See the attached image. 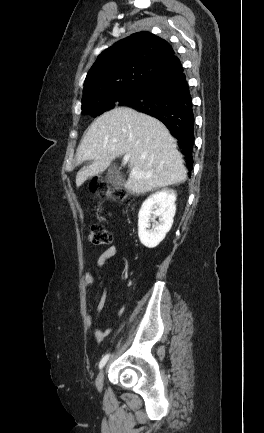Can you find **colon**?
Masks as SVG:
<instances>
[{"mask_svg":"<svg viewBox=\"0 0 264 433\" xmlns=\"http://www.w3.org/2000/svg\"><path fill=\"white\" fill-rule=\"evenodd\" d=\"M90 188L94 193L102 197H112L119 201L131 200V196L127 191L122 189H110L99 180H93L90 184ZM89 241L97 246L108 245L112 242V234L105 226L94 224L89 229Z\"/></svg>","mask_w":264,"mask_h":433,"instance_id":"obj_1","label":"colon"}]
</instances>
